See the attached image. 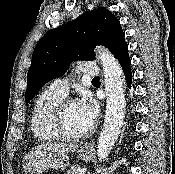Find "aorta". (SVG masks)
Returning <instances> with one entry per match:
<instances>
[{
  "label": "aorta",
  "instance_id": "aorta-1",
  "mask_svg": "<svg viewBox=\"0 0 175 174\" xmlns=\"http://www.w3.org/2000/svg\"><path fill=\"white\" fill-rule=\"evenodd\" d=\"M98 58L104 72L106 111L103 128L98 138L97 154L99 160H105L120 134L126 101L120 63L108 50L102 48H98Z\"/></svg>",
  "mask_w": 175,
  "mask_h": 174
}]
</instances>
